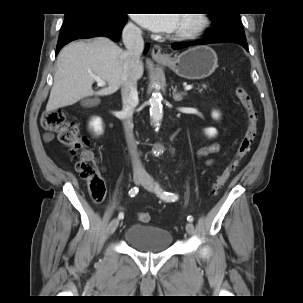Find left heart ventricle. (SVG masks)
I'll return each mask as SVG.
<instances>
[{
  "label": "left heart ventricle",
  "instance_id": "left-heart-ventricle-1",
  "mask_svg": "<svg viewBox=\"0 0 303 303\" xmlns=\"http://www.w3.org/2000/svg\"><path fill=\"white\" fill-rule=\"evenodd\" d=\"M196 23L195 17L190 14H180L176 30L188 28Z\"/></svg>",
  "mask_w": 303,
  "mask_h": 303
}]
</instances>
